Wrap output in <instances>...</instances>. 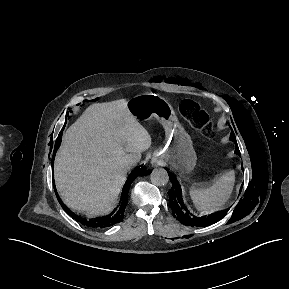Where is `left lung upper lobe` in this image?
<instances>
[{
  "label": "left lung upper lobe",
  "mask_w": 289,
  "mask_h": 289,
  "mask_svg": "<svg viewBox=\"0 0 289 289\" xmlns=\"http://www.w3.org/2000/svg\"><path fill=\"white\" fill-rule=\"evenodd\" d=\"M230 140L233 141L236 144L235 153L239 155L240 151H239V148H238V145H237V142H236V138H235V135H234L233 131L231 132Z\"/></svg>",
  "instance_id": "obj_1"
}]
</instances>
